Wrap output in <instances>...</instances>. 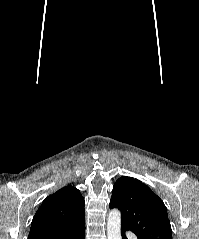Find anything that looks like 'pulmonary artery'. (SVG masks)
Wrapping results in <instances>:
<instances>
[{
    "instance_id": "e3ab8cb5",
    "label": "pulmonary artery",
    "mask_w": 199,
    "mask_h": 239,
    "mask_svg": "<svg viewBox=\"0 0 199 239\" xmlns=\"http://www.w3.org/2000/svg\"><path fill=\"white\" fill-rule=\"evenodd\" d=\"M128 237L130 239H137L136 235L134 233H132V232H128Z\"/></svg>"
}]
</instances>
